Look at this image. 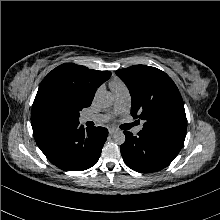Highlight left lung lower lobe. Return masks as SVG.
I'll list each match as a JSON object with an SVG mask.
<instances>
[{
  "mask_svg": "<svg viewBox=\"0 0 220 220\" xmlns=\"http://www.w3.org/2000/svg\"><path fill=\"white\" fill-rule=\"evenodd\" d=\"M125 142L121 145V154L125 164L134 171L156 172L167 167L179 151L139 132L133 136L124 131Z\"/></svg>",
  "mask_w": 220,
  "mask_h": 220,
  "instance_id": "left-lung-lower-lobe-1",
  "label": "left lung lower lobe"
}]
</instances>
